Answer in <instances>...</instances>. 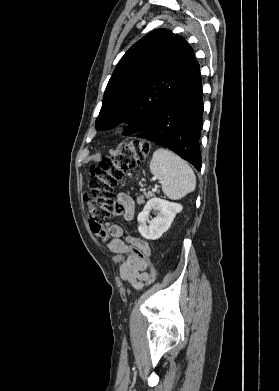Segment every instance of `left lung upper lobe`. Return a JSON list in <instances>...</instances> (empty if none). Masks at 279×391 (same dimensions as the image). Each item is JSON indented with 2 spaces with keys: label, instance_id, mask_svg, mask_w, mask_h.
I'll list each match as a JSON object with an SVG mask.
<instances>
[{
  "label": "left lung upper lobe",
  "instance_id": "1",
  "mask_svg": "<svg viewBox=\"0 0 279 391\" xmlns=\"http://www.w3.org/2000/svg\"><path fill=\"white\" fill-rule=\"evenodd\" d=\"M199 64L183 37L156 29L121 58L106 87L97 129L130 121L124 135L147 129L161 109L191 79Z\"/></svg>",
  "mask_w": 279,
  "mask_h": 391
}]
</instances>
